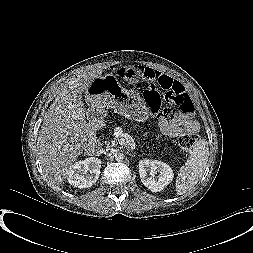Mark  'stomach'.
<instances>
[{
    "mask_svg": "<svg viewBox=\"0 0 253 253\" xmlns=\"http://www.w3.org/2000/svg\"><path fill=\"white\" fill-rule=\"evenodd\" d=\"M111 79L115 80L112 84ZM85 99L93 109L112 108L118 114L136 121H144L148 117L145 102L137 95L125 93L113 75L96 78L85 91Z\"/></svg>",
    "mask_w": 253,
    "mask_h": 253,
    "instance_id": "1",
    "label": "stomach"
}]
</instances>
